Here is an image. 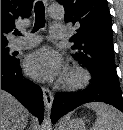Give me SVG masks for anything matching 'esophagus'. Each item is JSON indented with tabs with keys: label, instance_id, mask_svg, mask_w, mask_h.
<instances>
[{
	"label": "esophagus",
	"instance_id": "obj_1",
	"mask_svg": "<svg viewBox=\"0 0 123 130\" xmlns=\"http://www.w3.org/2000/svg\"><path fill=\"white\" fill-rule=\"evenodd\" d=\"M42 1L44 2L46 6L48 5V0H42ZM42 92H43V98H44V104H45L46 110L49 111L53 103V93L47 87H42Z\"/></svg>",
	"mask_w": 123,
	"mask_h": 130
}]
</instances>
